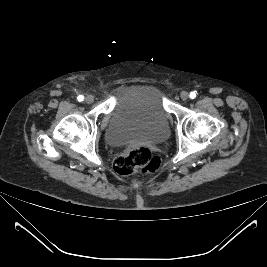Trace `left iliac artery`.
Returning <instances> with one entry per match:
<instances>
[{
	"label": "left iliac artery",
	"mask_w": 267,
	"mask_h": 267,
	"mask_svg": "<svg viewBox=\"0 0 267 267\" xmlns=\"http://www.w3.org/2000/svg\"><path fill=\"white\" fill-rule=\"evenodd\" d=\"M195 97H196V93H195V92H191V93H190V98H191V99H194Z\"/></svg>",
	"instance_id": "obj_1"
}]
</instances>
